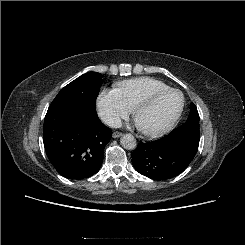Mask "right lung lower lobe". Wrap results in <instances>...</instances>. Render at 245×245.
Masks as SVG:
<instances>
[{"label":"right lung lower lobe","mask_w":245,"mask_h":245,"mask_svg":"<svg viewBox=\"0 0 245 245\" xmlns=\"http://www.w3.org/2000/svg\"><path fill=\"white\" fill-rule=\"evenodd\" d=\"M112 131L96 111L65 106L48 109L43 126L46 154L62 176L81 180L96 174Z\"/></svg>","instance_id":"98d812e1"}]
</instances>
